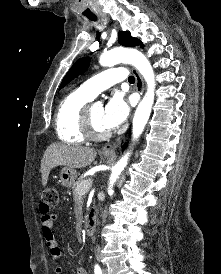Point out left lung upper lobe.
Masks as SVG:
<instances>
[{"label": "left lung upper lobe", "instance_id": "5c2ea615", "mask_svg": "<svg viewBox=\"0 0 221 274\" xmlns=\"http://www.w3.org/2000/svg\"><path fill=\"white\" fill-rule=\"evenodd\" d=\"M118 42L126 47H135L140 45L142 48L144 47L142 42L138 40L137 38H134L130 35L129 32L120 31L118 35ZM89 66V58H81L77 60L71 69L66 74L65 78L63 79L59 89L64 87L66 84H68L72 79L77 77L78 75L82 74L87 70Z\"/></svg>", "mask_w": 221, "mask_h": 274}]
</instances>
